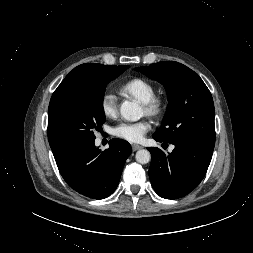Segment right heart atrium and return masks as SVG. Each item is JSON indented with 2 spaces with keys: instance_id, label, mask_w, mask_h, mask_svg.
I'll use <instances>...</instances> for the list:
<instances>
[{
  "instance_id": "1",
  "label": "right heart atrium",
  "mask_w": 253,
  "mask_h": 253,
  "mask_svg": "<svg viewBox=\"0 0 253 253\" xmlns=\"http://www.w3.org/2000/svg\"><path fill=\"white\" fill-rule=\"evenodd\" d=\"M100 108L104 116L113 118L117 115V98L109 90L105 91L100 100Z\"/></svg>"
}]
</instances>
